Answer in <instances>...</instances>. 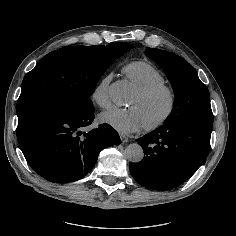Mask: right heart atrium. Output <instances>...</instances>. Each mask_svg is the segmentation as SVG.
Returning <instances> with one entry per match:
<instances>
[{"instance_id":"d8ad5b80","label":"right heart atrium","mask_w":236,"mask_h":236,"mask_svg":"<svg viewBox=\"0 0 236 236\" xmlns=\"http://www.w3.org/2000/svg\"><path fill=\"white\" fill-rule=\"evenodd\" d=\"M112 79L113 74L107 73L91 92V99L102 108H106L110 105L109 86Z\"/></svg>"}]
</instances>
